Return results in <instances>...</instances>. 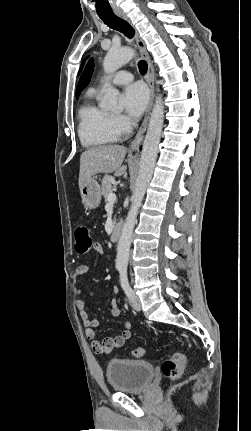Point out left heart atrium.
Masks as SVG:
<instances>
[{
    "mask_svg": "<svg viewBox=\"0 0 251 431\" xmlns=\"http://www.w3.org/2000/svg\"><path fill=\"white\" fill-rule=\"evenodd\" d=\"M149 100L146 86L136 82L127 86L122 95V101L126 113L131 118H138L145 110Z\"/></svg>",
    "mask_w": 251,
    "mask_h": 431,
    "instance_id": "39dd6f15",
    "label": "left heart atrium"
}]
</instances>
